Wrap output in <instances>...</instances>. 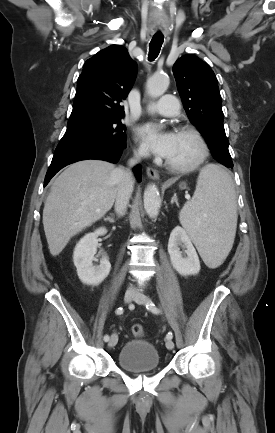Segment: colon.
Instances as JSON below:
<instances>
[{"label": "colon", "instance_id": "colon-1", "mask_svg": "<svg viewBox=\"0 0 275 433\" xmlns=\"http://www.w3.org/2000/svg\"><path fill=\"white\" fill-rule=\"evenodd\" d=\"M132 334L135 337H143L145 335V330L142 325L135 324L132 327Z\"/></svg>", "mask_w": 275, "mask_h": 433}]
</instances>
